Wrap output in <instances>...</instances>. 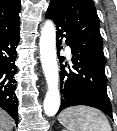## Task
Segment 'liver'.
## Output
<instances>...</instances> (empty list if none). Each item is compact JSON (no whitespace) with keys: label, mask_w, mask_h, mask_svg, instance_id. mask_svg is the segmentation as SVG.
Returning <instances> with one entry per match:
<instances>
[{"label":"liver","mask_w":117,"mask_h":131,"mask_svg":"<svg viewBox=\"0 0 117 131\" xmlns=\"http://www.w3.org/2000/svg\"><path fill=\"white\" fill-rule=\"evenodd\" d=\"M13 121L11 117L0 109V131H12Z\"/></svg>","instance_id":"6515ba94"}]
</instances>
